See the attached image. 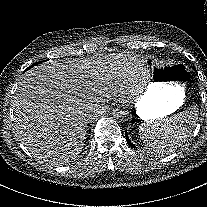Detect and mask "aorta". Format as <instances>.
Listing matches in <instances>:
<instances>
[{"label": "aorta", "instance_id": "aorta-1", "mask_svg": "<svg viewBox=\"0 0 207 207\" xmlns=\"http://www.w3.org/2000/svg\"><path fill=\"white\" fill-rule=\"evenodd\" d=\"M112 115L116 121H126L129 118V111L125 106H120L113 110Z\"/></svg>", "mask_w": 207, "mask_h": 207}]
</instances>
